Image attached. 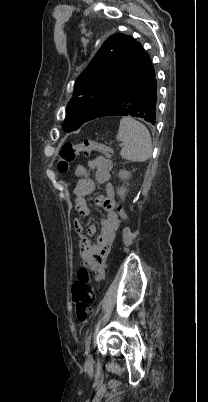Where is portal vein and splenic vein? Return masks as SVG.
<instances>
[{
	"label": "portal vein and splenic vein",
	"instance_id": "18ae733b",
	"mask_svg": "<svg viewBox=\"0 0 208 402\" xmlns=\"http://www.w3.org/2000/svg\"><path fill=\"white\" fill-rule=\"evenodd\" d=\"M119 146H124V144H119Z\"/></svg>",
	"mask_w": 208,
	"mask_h": 402
}]
</instances>
